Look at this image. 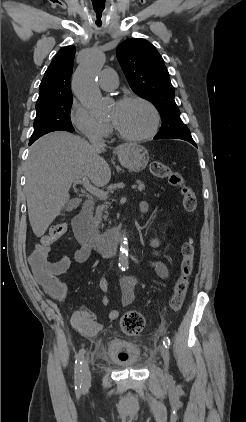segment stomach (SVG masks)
<instances>
[{
	"label": "stomach",
	"mask_w": 246,
	"mask_h": 422,
	"mask_svg": "<svg viewBox=\"0 0 246 422\" xmlns=\"http://www.w3.org/2000/svg\"><path fill=\"white\" fill-rule=\"evenodd\" d=\"M120 163L133 172H140L149 162V153L141 145L136 143H125L118 149Z\"/></svg>",
	"instance_id": "obj_1"
}]
</instances>
